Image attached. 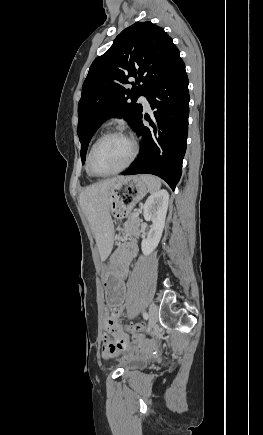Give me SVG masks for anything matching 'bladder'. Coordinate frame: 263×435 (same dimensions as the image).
<instances>
[{"instance_id":"1","label":"bladder","mask_w":263,"mask_h":435,"mask_svg":"<svg viewBox=\"0 0 263 435\" xmlns=\"http://www.w3.org/2000/svg\"><path fill=\"white\" fill-rule=\"evenodd\" d=\"M146 360L142 357H129L123 361V365L126 369H132L143 365Z\"/></svg>"}]
</instances>
